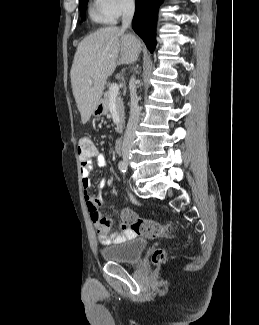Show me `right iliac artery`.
Returning a JSON list of instances; mask_svg holds the SVG:
<instances>
[{
  "label": "right iliac artery",
  "instance_id": "82829eb1",
  "mask_svg": "<svg viewBox=\"0 0 259 325\" xmlns=\"http://www.w3.org/2000/svg\"><path fill=\"white\" fill-rule=\"evenodd\" d=\"M122 165H127V163L125 161H120L119 164H118V168L120 169L121 171V166Z\"/></svg>",
  "mask_w": 259,
  "mask_h": 325
}]
</instances>
